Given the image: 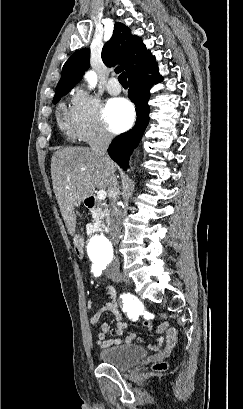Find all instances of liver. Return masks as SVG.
I'll list each match as a JSON object with an SVG mask.
<instances>
[{
	"instance_id": "1",
	"label": "liver",
	"mask_w": 243,
	"mask_h": 409,
	"mask_svg": "<svg viewBox=\"0 0 243 409\" xmlns=\"http://www.w3.org/2000/svg\"><path fill=\"white\" fill-rule=\"evenodd\" d=\"M116 164L104 159L86 147H65L56 151L51 159V178L54 193L68 233L76 229L75 207L91 196L96 188L109 187L110 174Z\"/></svg>"
}]
</instances>
